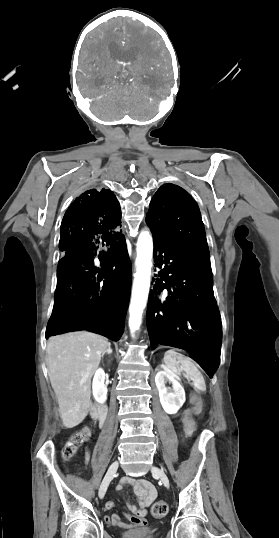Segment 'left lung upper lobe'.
<instances>
[{"label":"left lung upper lobe","instance_id":"obj_1","mask_svg":"<svg viewBox=\"0 0 279 538\" xmlns=\"http://www.w3.org/2000/svg\"><path fill=\"white\" fill-rule=\"evenodd\" d=\"M146 223L154 241L208 250L199 207L184 189L164 184L153 196Z\"/></svg>","mask_w":279,"mask_h":538}]
</instances>
